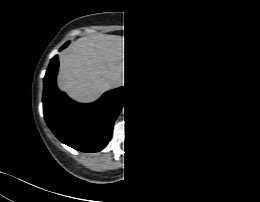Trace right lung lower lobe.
Here are the masks:
<instances>
[{"label":"right lung lower lobe","mask_w":260,"mask_h":202,"mask_svg":"<svg viewBox=\"0 0 260 202\" xmlns=\"http://www.w3.org/2000/svg\"><path fill=\"white\" fill-rule=\"evenodd\" d=\"M58 67L56 55L51 59L44 77L43 109L49 128L61 142L76 150L101 151L110 141L113 124L121 108L131 100L133 87L129 82L131 73L127 61L125 87L108 91L97 102L87 105L72 101L58 90Z\"/></svg>","instance_id":"1"}]
</instances>
